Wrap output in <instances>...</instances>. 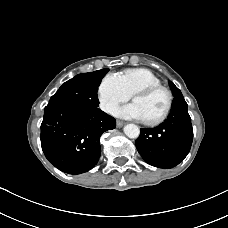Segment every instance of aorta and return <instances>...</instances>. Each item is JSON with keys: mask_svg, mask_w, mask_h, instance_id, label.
Masks as SVG:
<instances>
[{"mask_svg": "<svg viewBox=\"0 0 228 228\" xmlns=\"http://www.w3.org/2000/svg\"><path fill=\"white\" fill-rule=\"evenodd\" d=\"M124 133L127 137L129 138H137L140 134V129L137 125L135 124H127L124 127Z\"/></svg>", "mask_w": 228, "mask_h": 228, "instance_id": "aorta-1", "label": "aorta"}]
</instances>
